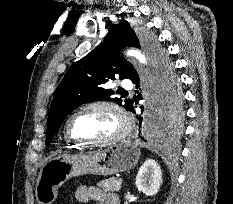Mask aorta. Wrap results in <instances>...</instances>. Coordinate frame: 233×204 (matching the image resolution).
Segmentation results:
<instances>
[{
  "instance_id": "aorta-1",
  "label": "aorta",
  "mask_w": 233,
  "mask_h": 204,
  "mask_svg": "<svg viewBox=\"0 0 233 204\" xmlns=\"http://www.w3.org/2000/svg\"><path fill=\"white\" fill-rule=\"evenodd\" d=\"M128 56H133L136 57L140 63L145 64L146 63V58L143 54H141L139 51L137 50H129L127 52Z\"/></svg>"
}]
</instances>
